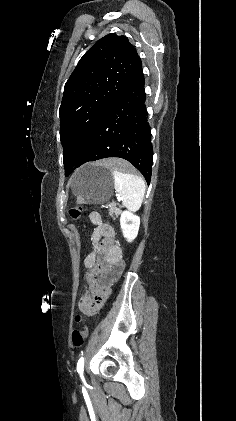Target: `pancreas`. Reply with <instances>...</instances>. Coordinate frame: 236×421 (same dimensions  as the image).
Here are the masks:
<instances>
[{"label":"pancreas","mask_w":236,"mask_h":421,"mask_svg":"<svg viewBox=\"0 0 236 421\" xmlns=\"http://www.w3.org/2000/svg\"><path fill=\"white\" fill-rule=\"evenodd\" d=\"M116 204L117 202H111L110 208H108L110 217H118L121 213L120 208H117Z\"/></svg>","instance_id":"cf45deb5"}]
</instances>
